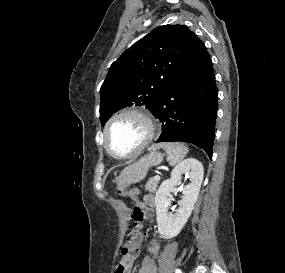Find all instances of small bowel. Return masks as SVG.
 Instances as JSON below:
<instances>
[{
    "label": "small bowel",
    "mask_w": 285,
    "mask_h": 273,
    "mask_svg": "<svg viewBox=\"0 0 285 273\" xmlns=\"http://www.w3.org/2000/svg\"><path fill=\"white\" fill-rule=\"evenodd\" d=\"M143 203H146L147 210H150L154 206V198L152 195H146L142 201ZM148 252L150 256H146L142 260L141 267L139 269L138 273H157L158 267L156 263V258L160 256L161 253V247L158 241L153 240L148 245Z\"/></svg>",
    "instance_id": "obj_1"
}]
</instances>
